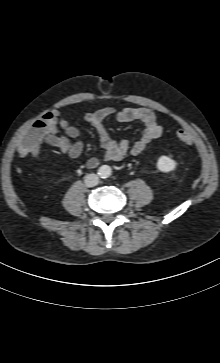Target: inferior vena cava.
<instances>
[{
	"label": "inferior vena cava",
	"mask_w": 220,
	"mask_h": 363,
	"mask_svg": "<svg viewBox=\"0 0 220 363\" xmlns=\"http://www.w3.org/2000/svg\"><path fill=\"white\" fill-rule=\"evenodd\" d=\"M99 183V178L96 174L91 173L85 177V184L87 187L96 186Z\"/></svg>",
	"instance_id": "inferior-vena-cava-1"
}]
</instances>
